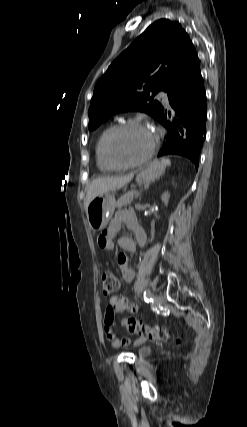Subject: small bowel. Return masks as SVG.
Here are the masks:
<instances>
[{"mask_svg": "<svg viewBox=\"0 0 247 427\" xmlns=\"http://www.w3.org/2000/svg\"><path fill=\"white\" fill-rule=\"evenodd\" d=\"M123 225L133 232L135 239L120 235ZM115 240H117L118 245L127 252H134L136 250V244H139L141 247H146V233L139 226L132 210L123 209L118 211L107 229L99 236L98 244L102 249L110 251L114 249ZM117 263L121 269L124 281L127 283L132 282L134 271L129 266L128 256L124 253L118 254ZM137 311L138 306L124 297L115 295L110 298L103 320V327L105 337L113 347L121 348L130 345V340L127 337L118 336L115 332L116 315L124 312L136 313ZM142 340L141 338L136 343H140Z\"/></svg>", "mask_w": 247, "mask_h": 427, "instance_id": "c3829d8e", "label": "small bowel"}]
</instances>
